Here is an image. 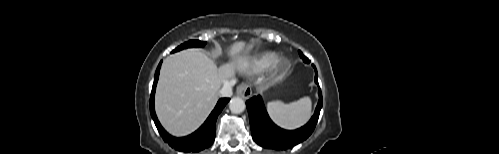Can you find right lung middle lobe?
Listing matches in <instances>:
<instances>
[{
	"label": "right lung middle lobe",
	"instance_id": "dd1d6c3e",
	"mask_svg": "<svg viewBox=\"0 0 499 154\" xmlns=\"http://www.w3.org/2000/svg\"><path fill=\"white\" fill-rule=\"evenodd\" d=\"M205 42H201L199 40H190L188 42H185L184 44L180 45L176 49L173 50V52H177L179 50H182L184 48H190V47H204Z\"/></svg>",
	"mask_w": 499,
	"mask_h": 154
}]
</instances>
